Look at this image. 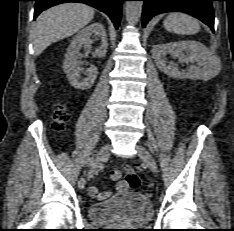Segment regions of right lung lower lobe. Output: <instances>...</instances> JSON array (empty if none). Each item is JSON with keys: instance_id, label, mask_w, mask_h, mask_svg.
<instances>
[{"instance_id": "obj_1", "label": "right lung lower lobe", "mask_w": 234, "mask_h": 231, "mask_svg": "<svg viewBox=\"0 0 234 231\" xmlns=\"http://www.w3.org/2000/svg\"><path fill=\"white\" fill-rule=\"evenodd\" d=\"M35 14L34 19L44 10L54 5L65 3V2H80L95 7L102 12L106 13L114 23L115 27L118 28L121 19V6L124 0H34Z\"/></svg>"}]
</instances>
